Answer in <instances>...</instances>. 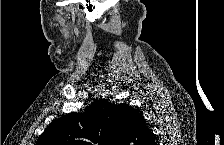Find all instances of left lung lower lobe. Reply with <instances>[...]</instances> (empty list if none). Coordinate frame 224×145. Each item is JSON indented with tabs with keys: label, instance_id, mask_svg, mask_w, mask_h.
<instances>
[{
	"label": "left lung lower lobe",
	"instance_id": "obj_1",
	"mask_svg": "<svg viewBox=\"0 0 224 145\" xmlns=\"http://www.w3.org/2000/svg\"><path fill=\"white\" fill-rule=\"evenodd\" d=\"M134 142V145H155L153 134L151 130L145 124L142 116L135 117L133 122V130L130 140Z\"/></svg>",
	"mask_w": 224,
	"mask_h": 145
}]
</instances>
